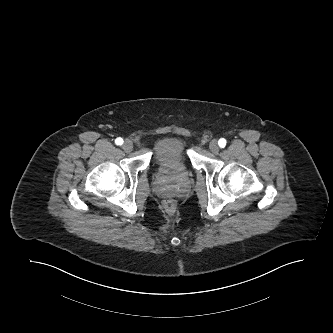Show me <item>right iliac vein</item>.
I'll return each instance as SVG.
<instances>
[{
  "instance_id": "right-iliac-vein-1",
  "label": "right iliac vein",
  "mask_w": 333,
  "mask_h": 333,
  "mask_svg": "<svg viewBox=\"0 0 333 333\" xmlns=\"http://www.w3.org/2000/svg\"><path fill=\"white\" fill-rule=\"evenodd\" d=\"M122 148H123V150L125 152H131L133 150V143H132V141L129 140V139H126L124 141V144H123Z\"/></svg>"
}]
</instances>
